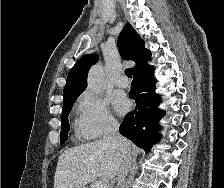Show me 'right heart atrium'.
Returning a JSON list of instances; mask_svg holds the SVG:
<instances>
[{
    "label": "right heart atrium",
    "mask_w": 224,
    "mask_h": 188,
    "mask_svg": "<svg viewBox=\"0 0 224 188\" xmlns=\"http://www.w3.org/2000/svg\"><path fill=\"white\" fill-rule=\"evenodd\" d=\"M79 124L86 137L99 139L113 132L119 122L109 108V101L92 90L84 91L78 100Z\"/></svg>",
    "instance_id": "d8ad5b80"
}]
</instances>
